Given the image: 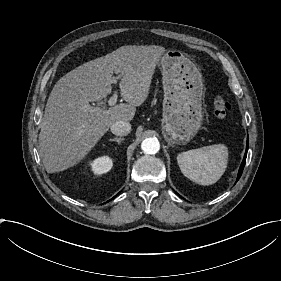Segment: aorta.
Returning a JSON list of instances; mask_svg holds the SVG:
<instances>
[{
  "mask_svg": "<svg viewBox=\"0 0 281 281\" xmlns=\"http://www.w3.org/2000/svg\"><path fill=\"white\" fill-rule=\"evenodd\" d=\"M141 148L146 154H156L160 149V143L156 137H149L142 141Z\"/></svg>",
  "mask_w": 281,
  "mask_h": 281,
  "instance_id": "obj_1",
  "label": "aorta"
}]
</instances>
